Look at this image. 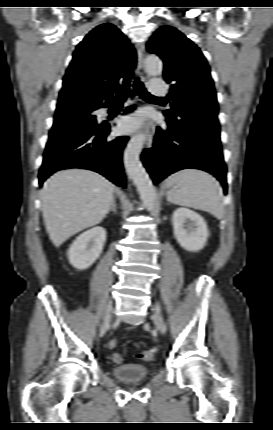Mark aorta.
<instances>
[{
	"label": "aorta",
	"mask_w": 273,
	"mask_h": 430,
	"mask_svg": "<svg viewBox=\"0 0 273 430\" xmlns=\"http://www.w3.org/2000/svg\"><path fill=\"white\" fill-rule=\"evenodd\" d=\"M145 65L152 76L162 73L163 63L156 55L148 56L145 60ZM144 141L145 135L143 133H138L129 140L124 151V164L129 177L132 178L137 187L143 204L148 211H153L156 206V190L139 159Z\"/></svg>",
	"instance_id": "obj_1"
}]
</instances>
